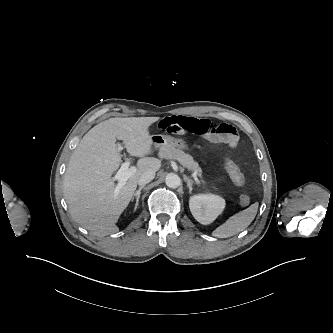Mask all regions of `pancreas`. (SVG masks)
Instances as JSON below:
<instances>
[{
  "mask_svg": "<svg viewBox=\"0 0 333 333\" xmlns=\"http://www.w3.org/2000/svg\"><path fill=\"white\" fill-rule=\"evenodd\" d=\"M159 156L160 158L167 160L169 159L178 160L180 164L186 167L189 171H192L201 177L202 170L199 167V164L196 161H194L192 156L186 154L182 150L177 149L174 146H168L160 149Z\"/></svg>",
  "mask_w": 333,
  "mask_h": 333,
  "instance_id": "cf45deb5",
  "label": "pancreas"
}]
</instances>
